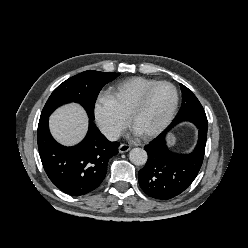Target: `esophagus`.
<instances>
[{
	"mask_svg": "<svg viewBox=\"0 0 248 248\" xmlns=\"http://www.w3.org/2000/svg\"><path fill=\"white\" fill-rule=\"evenodd\" d=\"M130 146L129 145H127V144H121L120 146H119V152L120 153H125V152H128L129 150H130Z\"/></svg>",
	"mask_w": 248,
	"mask_h": 248,
	"instance_id": "1",
	"label": "esophagus"
}]
</instances>
